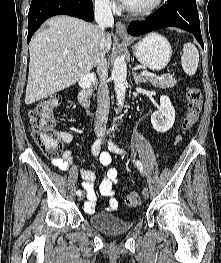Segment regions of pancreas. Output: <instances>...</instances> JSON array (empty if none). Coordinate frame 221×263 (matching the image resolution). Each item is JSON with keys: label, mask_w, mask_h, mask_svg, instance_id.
<instances>
[{"label": "pancreas", "mask_w": 221, "mask_h": 263, "mask_svg": "<svg viewBox=\"0 0 221 263\" xmlns=\"http://www.w3.org/2000/svg\"><path fill=\"white\" fill-rule=\"evenodd\" d=\"M146 80L149 81L153 86L163 89L174 87L177 84V80L169 75L160 77L146 76Z\"/></svg>", "instance_id": "cf45deb5"}]
</instances>
